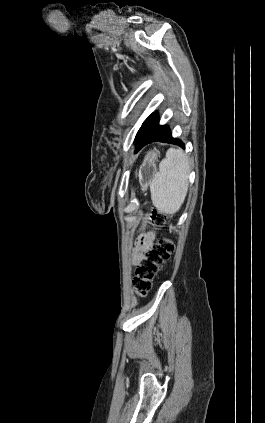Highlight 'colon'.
Here are the masks:
<instances>
[{"mask_svg": "<svg viewBox=\"0 0 265 423\" xmlns=\"http://www.w3.org/2000/svg\"><path fill=\"white\" fill-rule=\"evenodd\" d=\"M147 219L156 226H162L166 222L165 215L157 210H153ZM174 251L175 245L168 238L159 239L145 250L143 257L136 265L132 281L133 290L137 295L146 296L148 294L160 265L169 260Z\"/></svg>", "mask_w": 265, "mask_h": 423, "instance_id": "colon-1", "label": "colon"}]
</instances>
